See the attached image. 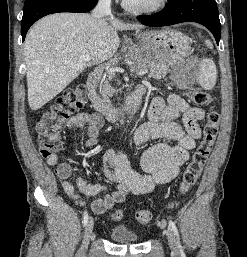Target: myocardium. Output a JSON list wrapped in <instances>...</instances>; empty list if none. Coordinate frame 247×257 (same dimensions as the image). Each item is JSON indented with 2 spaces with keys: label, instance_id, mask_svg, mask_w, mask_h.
Instances as JSON below:
<instances>
[{
  "label": "myocardium",
  "instance_id": "obj_1",
  "mask_svg": "<svg viewBox=\"0 0 247 257\" xmlns=\"http://www.w3.org/2000/svg\"><path fill=\"white\" fill-rule=\"evenodd\" d=\"M168 3V0H157L150 5H135L127 0H123V7L135 14L151 15L162 11Z\"/></svg>",
  "mask_w": 247,
  "mask_h": 257
}]
</instances>
